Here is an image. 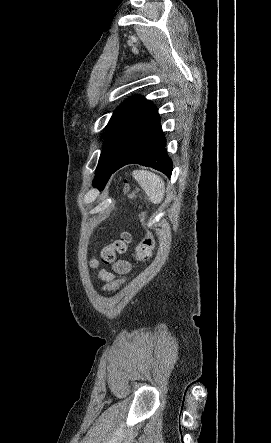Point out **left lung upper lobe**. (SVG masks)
Here are the masks:
<instances>
[{
	"label": "left lung upper lobe",
	"instance_id": "obj_1",
	"mask_svg": "<svg viewBox=\"0 0 271 443\" xmlns=\"http://www.w3.org/2000/svg\"><path fill=\"white\" fill-rule=\"evenodd\" d=\"M145 102L142 96H134L123 102L114 112L108 125L104 147L99 159L93 186L102 190L110 178V170L117 154L119 144L125 130L136 117L138 111Z\"/></svg>",
	"mask_w": 271,
	"mask_h": 443
}]
</instances>
